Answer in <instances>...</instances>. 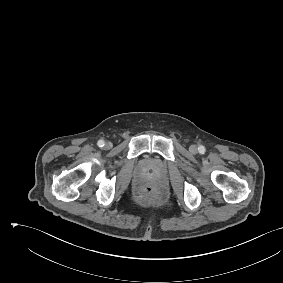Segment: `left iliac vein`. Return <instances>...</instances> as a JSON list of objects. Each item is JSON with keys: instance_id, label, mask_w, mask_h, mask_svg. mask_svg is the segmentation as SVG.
I'll return each mask as SVG.
<instances>
[{"instance_id": "obj_1", "label": "left iliac vein", "mask_w": 283, "mask_h": 283, "mask_svg": "<svg viewBox=\"0 0 283 283\" xmlns=\"http://www.w3.org/2000/svg\"><path fill=\"white\" fill-rule=\"evenodd\" d=\"M189 150H190L191 153L195 154V153H197V146L196 145H191L189 147Z\"/></svg>"}]
</instances>
